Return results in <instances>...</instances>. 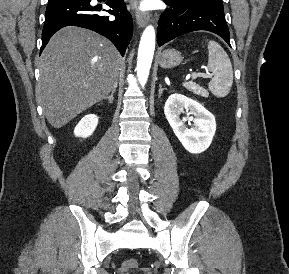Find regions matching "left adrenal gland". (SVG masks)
Masks as SVG:
<instances>
[{
  "mask_svg": "<svg viewBox=\"0 0 289 274\" xmlns=\"http://www.w3.org/2000/svg\"><path fill=\"white\" fill-rule=\"evenodd\" d=\"M159 87H160V89H159V97H161V94H162L164 88H162V85H161V84L159 85Z\"/></svg>",
  "mask_w": 289,
  "mask_h": 274,
  "instance_id": "obj_1",
  "label": "left adrenal gland"
}]
</instances>
